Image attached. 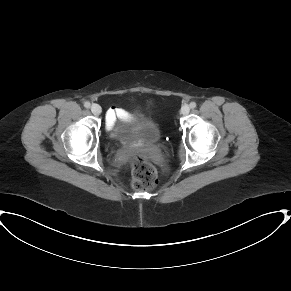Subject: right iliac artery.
Listing matches in <instances>:
<instances>
[{"label":"right iliac artery","mask_w":291,"mask_h":291,"mask_svg":"<svg viewBox=\"0 0 291 291\" xmlns=\"http://www.w3.org/2000/svg\"><path fill=\"white\" fill-rule=\"evenodd\" d=\"M90 102H88V101H86V102H84V106L86 107V108H90Z\"/></svg>","instance_id":"1"}]
</instances>
